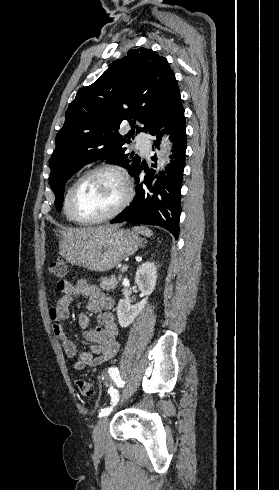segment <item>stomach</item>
I'll return each instance as SVG.
<instances>
[{"label":"stomach","mask_w":279,"mask_h":490,"mask_svg":"<svg viewBox=\"0 0 279 490\" xmlns=\"http://www.w3.org/2000/svg\"><path fill=\"white\" fill-rule=\"evenodd\" d=\"M141 244L136 232L132 230H111L107 234H91L85 238H69L62 236L59 242V254L79 268H87L89 272H109L124 258L137 252Z\"/></svg>","instance_id":"stomach-1"}]
</instances>
